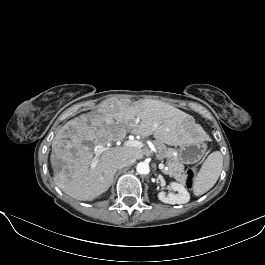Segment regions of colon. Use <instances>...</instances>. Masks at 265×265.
<instances>
[{
  "label": "colon",
  "instance_id": "obj_1",
  "mask_svg": "<svg viewBox=\"0 0 265 265\" xmlns=\"http://www.w3.org/2000/svg\"><path fill=\"white\" fill-rule=\"evenodd\" d=\"M196 176V169L190 168L186 172V185L188 188H191L193 186L194 178Z\"/></svg>",
  "mask_w": 265,
  "mask_h": 265
}]
</instances>
